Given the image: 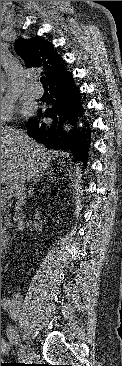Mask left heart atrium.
Listing matches in <instances>:
<instances>
[{
    "instance_id": "1",
    "label": "left heart atrium",
    "mask_w": 122,
    "mask_h": 366,
    "mask_svg": "<svg viewBox=\"0 0 122 366\" xmlns=\"http://www.w3.org/2000/svg\"><path fill=\"white\" fill-rule=\"evenodd\" d=\"M28 111H29V109H28L27 107H24V108H23V112H24V113H28Z\"/></svg>"
}]
</instances>
